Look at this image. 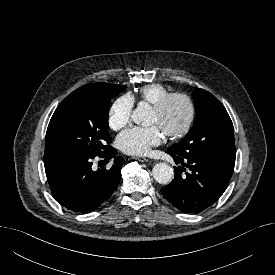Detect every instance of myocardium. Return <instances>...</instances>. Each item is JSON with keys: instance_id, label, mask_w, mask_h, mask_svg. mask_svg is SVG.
<instances>
[{"instance_id": "myocardium-1", "label": "myocardium", "mask_w": 275, "mask_h": 275, "mask_svg": "<svg viewBox=\"0 0 275 275\" xmlns=\"http://www.w3.org/2000/svg\"><path fill=\"white\" fill-rule=\"evenodd\" d=\"M176 99H180L186 104L187 116L184 124L181 127L177 129L164 130L165 135L170 138H180L185 136L193 127L196 119V106L194 100L189 94L182 91L168 93L159 102L153 105V109L156 112L162 114L166 111L169 104Z\"/></svg>"}]
</instances>
